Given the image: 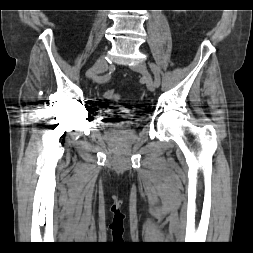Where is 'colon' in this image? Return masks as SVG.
<instances>
[{
  "mask_svg": "<svg viewBox=\"0 0 253 253\" xmlns=\"http://www.w3.org/2000/svg\"><path fill=\"white\" fill-rule=\"evenodd\" d=\"M104 96L106 99H115V100L119 99V94L113 88H107L104 91Z\"/></svg>",
  "mask_w": 253,
  "mask_h": 253,
  "instance_id": "obj_1",
  "label": "colon"
}]
</instances>
